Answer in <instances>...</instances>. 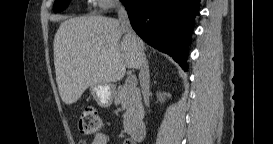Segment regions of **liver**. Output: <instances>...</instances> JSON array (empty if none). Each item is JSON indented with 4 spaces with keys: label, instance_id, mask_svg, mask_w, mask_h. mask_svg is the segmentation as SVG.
Wrapping results in <instances>:
<instances>
[{
    "label": "liver",
    "instance_id": "liver-1",
    "mask_svg": "<svg viewBox=\"0 0 273 144\" xmlns=\"http://www.w3.org/2000/svg\"><path fill=\"white\" fill-rule=\"evenodd\" d=\"M53 46L58 90L67 105L76 103L89 86L120 81L126 68H139L132 38L117 19L83 16L65 20Z\"/></svg>",
    "mask_w": 273,
    "mask_h": 144
}]
</instances>
